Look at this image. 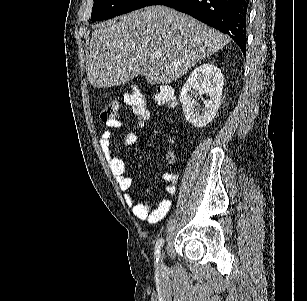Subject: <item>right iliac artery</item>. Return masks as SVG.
<instances>
[{
  "instance_id": "82829eb1",
  "label": "right iliac artery",
  "mask_w": 307,
  "mask_h": 301,
  "mask_svg": "<svg viewBox=\"0 0 307 301\" xmlns=\"http://www.w3.org/2000/svg\"><path fill=\"white\" fill-rule=\"evenodd\" d=\"M163 243H164L163 238L159 239L156 243V246H155L156 263H158V261H159V254H160V250L163 246Z\"/></svg>"
}]
</instances>
